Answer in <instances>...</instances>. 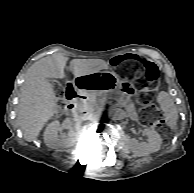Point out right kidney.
I'll return each instance as SVG.
<instances>
[{
	"label": "right kidney",
	"mask_w": 194,
	"mask_h": 193,
	"mask_svg": "<svg viewBox=\"0 0 194 193\" xmlns=\"http://www.w3.org/2000/svg\"><path fill=\"white\" fill-rule=\"evenodd\" d=\"M67 129L68 132L63 134L62 130ZM44 142L49 148H68L76 142V129L71 122L60 124L55 120L48 124L44 131Z\"/></svg>",
	"instance_id": "ca27d5eb"
}]
</instances>
